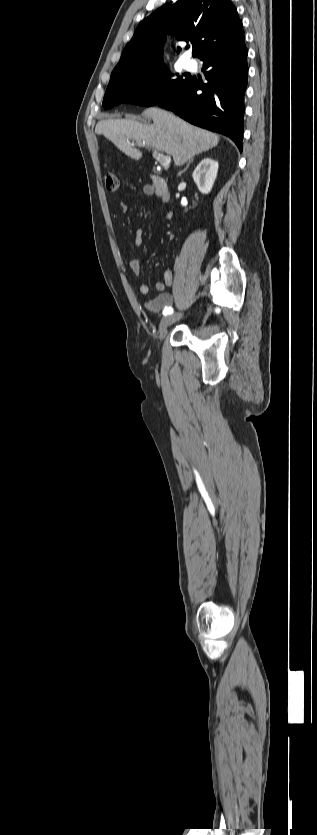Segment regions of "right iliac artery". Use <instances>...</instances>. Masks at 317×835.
<instances>
[{
  "mask_svg": "<svg viewBox=\"0 0 317 835\" xmlns=\"http://www.w3.org/2000/svg\"><path fill=\"white\" fill-rule=\"evenodd\" d=\"M172 313H173V308L172 307H168V308L166 307L163 311L164 315H168V314H172Z\"/></svg>",
  "mask_w": 317,
  "mask_h": 835,
  "instance_id": "obj_1",
  "label": "right iliac artery"
}]
</instances>
